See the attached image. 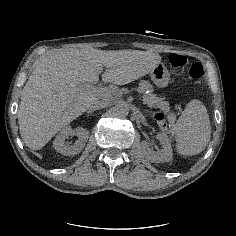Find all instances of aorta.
<instances>
[{
  "mask_svg": "<svg viewBox=\"0 0 236 236\" xmlns=\"http://www.w3.org/2000/svg\"><path fill=\"white\" fill-rule=\"evenodd\" d=\"M113 113L115 116L124 118L129 113V106L126 102H119L113 108Z\"/></svg>",
  "mask_w": 236,
  "mask_h": 236,
  "instance_id": "1",
  "label": "aorta"
}]
</instances>
